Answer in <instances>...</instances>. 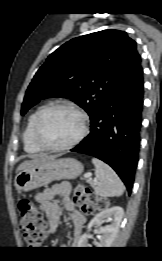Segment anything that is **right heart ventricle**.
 Listing matches in <instances>:
<instances>
[{"mask_svg":"<svg viewBox=\"0 0 162 261\" xmlns=\"http://www.w3.org/2000/svg\"><path fill=\"white\" fill-rule=\"evenodd\" d=\"M46 107V105L39 106L28 118L26 128L23 133L24 149L30 154H37L43 151L34 141L33 131L36 118L38 114Z\"/></svg>","mask_w":162,"mask_h":261,"instance_id":"e07e8e85","label":"right heart ventricle"}]
</instances>
